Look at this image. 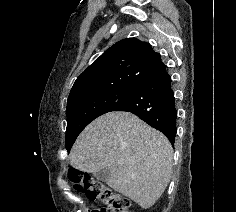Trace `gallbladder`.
I'll list each match as a JSON object with an SVG mask.
<instances>
[{
  "label": "gallbladder",
  "mask_w": 236,
  "mask_h": 212,
  "mask_svg": "<svg viewBox=\"0 0 236 212\" xmlns=\"http://www.w3.org/2000/svg\"><path fill=\"white\" fill-rule=\"evenodd\" d=\"M93 175L100 181H107L111 177V171L108 168H104L100 171L95 172Z\"/></svg>",
  "instance_id": "gallbladder-1"
}]
</instances>
